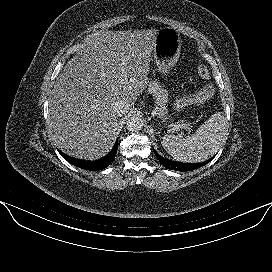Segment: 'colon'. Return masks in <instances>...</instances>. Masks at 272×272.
Returning a JSON list of instances; mask_svg holds the SVG:
<instances>
[{
    "label": "colon",
    "mask_w": 272,
    "mask_h": 272,
    "mask_svg": "<svg viewBox=\"0 0 272 272\" xmlns=\"http://www.w3.org/2000/svg\"><path fill=\"white\" fill-rule=\"evenodd\" d=\"M198 73L203 79L207 81L206 86L196 93L184 95L177 98L172 103V111L175 115H181L184 113L187 107L194 104L202 103L212 97L214 93V88L209 82L210 76L208 69L205 66H200L198 68Z\"/></svg>",
    "instance_id": "obj_1"
}]
</instances>
